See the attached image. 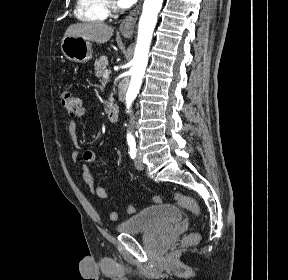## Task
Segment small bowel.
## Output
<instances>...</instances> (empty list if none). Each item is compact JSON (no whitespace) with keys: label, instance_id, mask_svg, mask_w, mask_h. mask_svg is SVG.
Returning a JSON list of instances; mask_svg holds the SVG:
<instances>
[{"label":"small bowel","instance_id":"1","mask_svg":"<svg viewBox=\"0 0 288 280\" xmlns=\"http://www.w3.org/2000/svg\"><path fill=\"white\" fill-rule=\"evenodd\" d=\"M88 113L87 107H81L77 117H84ZM67 126L70 135L75 134L76 130V122L73 119L67 120ZM80 156V151H74L72 154V160L74 162L77 161L78 157ZM83 161H84V172L82 176L83 183L87 186L89 192L97 196L101 199H107L111 196V193L107 191L104 187L97 185L95 182V161H96V154L91 151L87 150L82 154Z\"/></svg>","mask_w":288,"mask_h":280}]
</instances>
